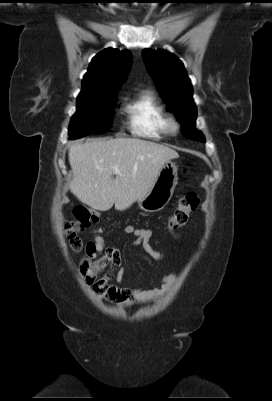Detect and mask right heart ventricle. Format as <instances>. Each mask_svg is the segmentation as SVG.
<instances>
[{"label": "right heart ventricle", "mask_w": 272, "mask_h": 401, "mask_svg": "<svg viewBox=\"0 0 272 401\" xmlns=\"http://www.w3.org/2000/svg\"><path fill=\"white\" fill-rule=\"evenodd\" d=\"M124 112L129 128L138 136L158 140L170 133L166 107L152 91H142L128 99Z\"/></svg>", "instance_id": "obj_1"}]
</instances>
